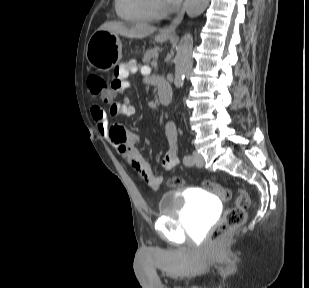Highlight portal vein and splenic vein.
<instances>
[{"instance_id": "obj_1", "label": "portal vein and splenic vein", "mask_w": 309, "mask_h": 288, "mask_svg": "<svg viewBox=\"0 0 309 288\" xmlns=\"http://www.w3.org/2000/svg\"><path fill=\"white\" fill-rule=\"evenodd\" d=\"M151 65H152V66H156V65H157V62H156V61H153V62L151 63Z\"/></svg>"}]
</instances>
